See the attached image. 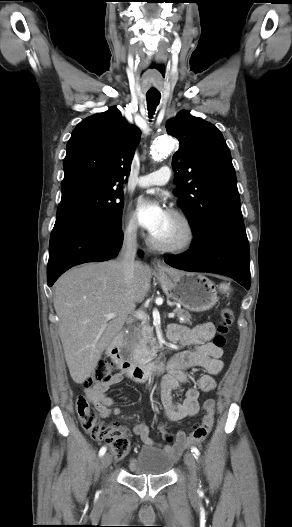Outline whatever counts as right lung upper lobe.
Returning <instances> with one entry per match:
<instances>
[{"mask_svg":"<svg viewBox=\"0 0 292 527\" xmlns=\"http://www.w3.org/2000/svg\"><path fill=\"white\" fill-rule=\"evenodd\" d=\"M139 135L116 107L84 119L68 141L62 183L87 179L121 187L130 174Z\"/></svg>","mask_w":292,"mask_h":527,"instance_id":"1","label":"right lung upper lobe"}]
</instances>
